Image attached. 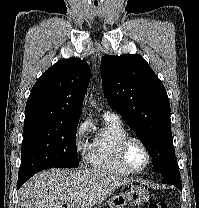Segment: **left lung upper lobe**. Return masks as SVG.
I'll list each match as a JSON object with an SVG mask.
<instances>
[{
	"label": "left lung upper lobe",
	"mask_w": 199,
	"mask_h": 208,
	"mask_svg": "<svg viewBox=\"0 0 199 208\" xmlns=\"http://www.w3.org/2000/svg\"><path fill=\"white\" fill-rule=\"evenodd\" d=\"M101 77L108 104L144 143L161 176L179 174L166 90L143 57L105 55Z\"/></svg>",
	"instance_id": "obj_1"
}]
</instances>
